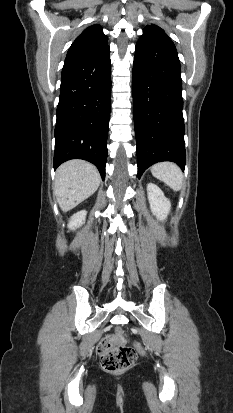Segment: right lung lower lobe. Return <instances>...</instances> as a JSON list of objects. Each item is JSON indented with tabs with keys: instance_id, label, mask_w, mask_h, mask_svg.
<instances>
[{
	"instance_id": "1",
	"label": "right lung lower lobe",
	"mask_w": 233,
	"mask_h": 413,
	"mask_svg": "<svg viewBox=\"0 0 233 413\" xmlns=\"http://www.w3.org/2000/svg\"><path fill=\"white\" fill-rule=\"evenodd\" d=\"M111 104L109 46L66 57L55 127L54 168L70 159L93 163L105 178Z\"/></svg>"
}]
</instances>
